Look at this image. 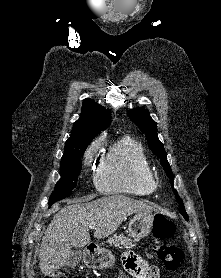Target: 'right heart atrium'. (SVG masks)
Returning a JSON list of instances; mask_svg holds the SVG:
<instances>
[{"label":"right heart atrium","mask_w":221,"mask_h":278,"mask_svg":"<svg viewBox=\"0 0 221 278\" xmlns=\"http://www.w3.org/2000/svg\"><path fill=\"white\" fill-rule=\"evenodd\" d=\"M100 146H101L100 139L93 141L89 145V147L87 148L85 155H84V162L86 165H90L94 161V159L97 157Z\"/></svg>","instance_id":"right-heart-atrium-1"}]
</instances>
